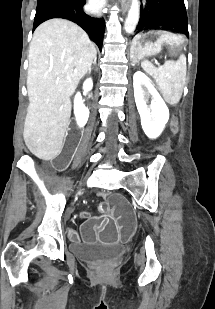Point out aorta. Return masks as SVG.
Here are the masks:
<instances>
[{
  "instance_id": "aorta-1",
  "label": "aorta",
  "mask_w": 215,
  "mask_h": 309,
  "mask_svg": "<svg viewBox=\"0 0 215 309\" xmlns=\"http://www.w3.org/2000/svg\"><path fill=\"white\" fill-rule=\"evenodd\" d=\"M139 0H131V6L128 10V16L125 20L124 28L126 32H133L139 20Z\"/></svg>"
}]
</instances>
